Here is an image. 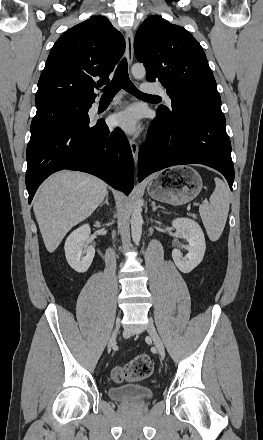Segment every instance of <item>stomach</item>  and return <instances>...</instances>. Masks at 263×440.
<instances>
[{
    "instance_id": "0dacf381",
    "label": "stomach",
    "mask_w": 263,
    "mask_h": 440,
    "mask_svg": "<svg viewBox=\"0 0 263 440\" xmlns=\"http://www.w3.org/2000/svg\"><path fill=\"white\" fill-rule=\"evenodd\" d=\"M199 173L191 167H176L151 178L148 194L155 200L183 205L195 199L202 189Z\"/></svg>"
}]
</instances>
